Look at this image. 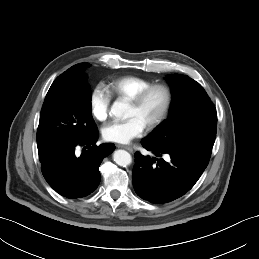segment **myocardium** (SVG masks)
I'll use <instances>...</instances> for the list:
<instances>
[{
    "label": "myocardium",
    "mask_w": 259,
    "mask_h": 259,
    "mask_svg": "<svg viewBox=\"0 0 259 259\" xmlns=\"http://www.w3.org/2000/svg\"><path fill=\"white\" fill-rule=\"evenodd\" d=\"M156 90L163 93L164 102L159 114L146 126L149 130L155 129L166 119L173 102V92L171 88L161 83L152 84L128 100L129 104L138 107L145 101L150 93Z\"/></svg>",
    "instance_id": "f54148a6"
}]
</instances>
